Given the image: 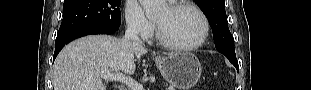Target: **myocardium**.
I'll list each match as a JSON object with an SVG mask.
<instances>
[{
	"label": "myocardium",
	"mask_w": 311,
	"mask_h": 90,
	"mask_svg": "<svg viewBox=\"0 0 311 90\" xmlns=\"http://www.w3.org/2000/svg\"><path fill=\"white\" fill-rule=\"evenodd\" d=\"M170 11H176L181 8H189L193 10L201 19L203 24V33L198 41L190 45H177L169 42L161 33L159 25L156 23V39L165 48L177 52H190L201 47L207 40L210 31V24L207 16L197 6L190 2L181 1L168 6Z\"/></svg>",
	"instance_id": "obj_1"
}]
</instances>
